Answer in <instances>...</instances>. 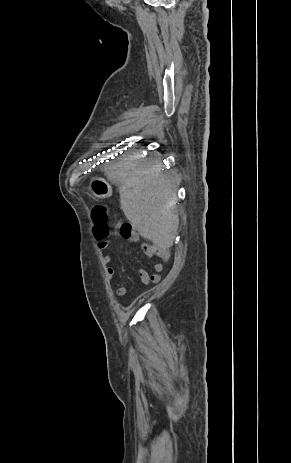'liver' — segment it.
Returning a JSON list of instances; mask_svg holds the SVG:
<instances>
[{
  "label": "liver",
  "instance_id": "6515ba94",
  "mask_svg": "<svg viewBox=\"0 0 291 463\" xmlns=\"http://www.w3.org/2000/svg\"><path fill=\"white\" fill-rule=\"evenodd\" d=\"M105 174L120 185L121 208L132 227L158 247L170 248L179 225L174 211L176 186L162 172L160 160L126 156L107 167Z\"/></svg>",
  "mask_w": 291,
  "mask_h": 463
}]
</instances>
